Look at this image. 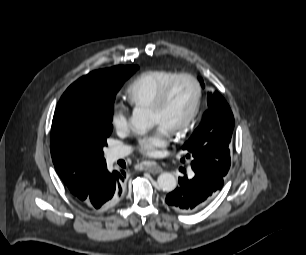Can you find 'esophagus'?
Returning <instances> with one entry per match:
<instances>
[{"instance_id": "esophagus-1", "label": "esophagus", "mask_w": 306, "mask_h": 255, "mask_svg": "<svg viewBox=\"0 0 306 255\" xmlns=\"http://www.w3.org/2000/svg\"><path fill=\"white\" fill-rule=\"evenodd\" d=\"M144 170L151 173V174H158V173L162 172L161 166H159L156 163H150V164L146 165L144 167Z\"/></svg>"}]
</instances>
